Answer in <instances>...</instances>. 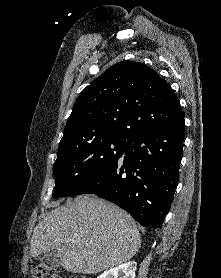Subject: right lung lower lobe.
<instances>
[{
	"mask_svg": "<svg viewBox=\"0 0 221 278\" xmlns=\"http://www.w3.org/2000/svg\"><path fill=\"white\" fill-rule=\"evenodd\" d=\"M184 118L128 139L123 155L77 188L125 209L142 226L162 227L176 189L185 141Z\"/></svg>",
	"mask_w": 221,
	"mask_h": 278,
	"instance_id": "obj_1",
	"label": "right lung lower lobe"
}]
</instances>
